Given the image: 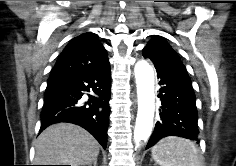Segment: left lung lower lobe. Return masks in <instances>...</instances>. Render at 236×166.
I'll use <instances>...</instances> for the list:
<instances>
[{"mask_svg":"<svg viewBox=\"0 0 236 166\" xmlns=\"http://www.w3.org/2000/svg\"><path fill=\"white\" fill-rule=\"evenodd\" d=\"M155 68L161 85L158 95L161 107L146 149L171 135L199 143L196 97L185 66L182 62H173Z\"/></svg>","mask_w":236,"mask_h":166,"instance_id":"left-lung-lower-lobe-1","label":"left lung lower lobe"}]
</instances>
